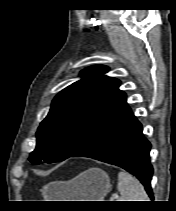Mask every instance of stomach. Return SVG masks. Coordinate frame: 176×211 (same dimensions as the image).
Instances as JSON below:
<instances>
[{
  "label": "stomach",
  "mask_w": 176,
  "mask_h": 211,
  "mask_svg": "<svg viewBox=\"0 0 176 211\" xmlns=\"http://www.w3.org/2000/svg\"><path fill=\"white\" fill-rule=\"evenodd\" d=\"M108 174L98 168H91L79 174L70 182H53L46 186V192L61 201H104L110 189Z\"/></svg>",
  "instance_id": "obj_1"
}]
</instances>
